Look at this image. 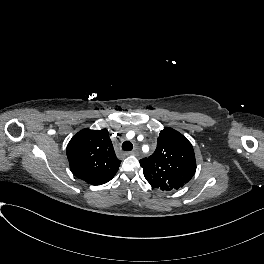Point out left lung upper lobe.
<instances>
[{
    "label": "left lung upper lobe",
    "mask_w": 264,
    "mask_h": 264,
    "mask_svg": "<svg viewBox=\"0 0 264 264\" xmlns=\"http://www.w3.org/2000/svg\"><path fill=\"white\" fill-rule=\"evenodd\" d=\"M146 180L153 188L174 191L195 174L196 159L191 143L178 131L165 127L154 153L140 160Z\"/></svg>",
    "instance_id": "5c2ea615"
}]
</instances>
